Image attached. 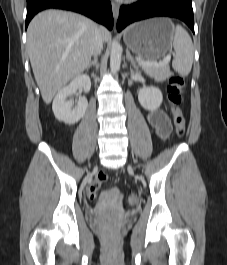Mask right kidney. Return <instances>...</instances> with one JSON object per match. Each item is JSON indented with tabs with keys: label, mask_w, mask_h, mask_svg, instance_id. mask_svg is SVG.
Here are the masks:
<instances>
[{
	"label": "right kidney",
	"mask_w": 227,
	"mask_h": 265,
	"mask_svg": "<svg viewBox=\"0 0 227 265\" xmlns=\"http://www.w3.org/2000/svg\"><path fill=\"white\" fill-rule=\"evenodd\" d=\"M79 88H83L85 93L89 92L91 81L88 75H78L69 85L58 91L52 104V110L57 120L72 125L84 116L88 107V101L85 97L79 98L75 108H73L74 103L72 101L66 100L68 96L74 94Z\"/></svg>",
	"instance_id": "obj_1"
}]
</instances>
